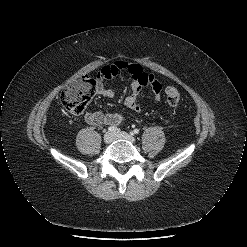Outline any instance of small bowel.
Masks as SVG:
<instances>
[{
    "mask_svg": "<svg viewBox=\"0 0 247 247\" xmlns=\"http://www.w3.org/2000/svg\"><path fill=\"white\" fill-rule=\"evenodd\" d=\"M125 72L131 78V93L125 98V106L133 112H140L141 106L138 102V95L143 88H149L156 101L161 99L163 91L162 84L151 74L146 73L140 65L126 61H116L113 64L101 68L96 80V93L105 98H111L114 93L105 87L104 80L110 79ZM85 121L92 126L117 125L124 120V114L104 113L102 111L88 112L84 115Z\"/></svg>",
    "mask_w": 247,
    "mask_h": 247,
    "instance_id": "small-bowel-1",
    "label": "small bowel"
}]
</instances>
